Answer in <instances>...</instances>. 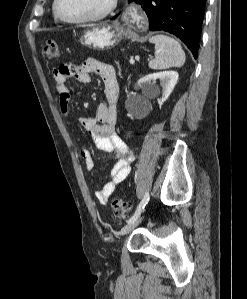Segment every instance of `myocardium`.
<instances>
[{
    "instance_id": "obj_1",
    "label": "myocardium",
    "mask_w": 247,
    "mask_h": 299,
    "mask_svg": "<svg viewBox=\"0 0 247 299\" xmlns=\"http://www.w3.org/2000/svg\"><path fill=\"white\" fill-rule=\"evenodd\" d=\"M58 3H59V0H54V2H53V12H54L55 17L58 20L66 23V24H83V23L96 22V21L102 20L105 17H107L115 8L117 0H109L106 7L102 11H100L99 13H97L95 15L78 18V19H67V18L63 17L59 12Z\"/></svg>"
}]
</instances>
